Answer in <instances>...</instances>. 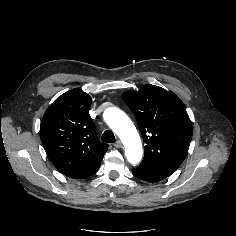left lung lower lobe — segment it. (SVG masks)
Masks as SVG:
<instances>
[{
    "mask_svg": "<svg viewBox=\"0 0 236 236\" xmlns=\"http://www.w3.org/2000/svg\"><path fill=\"white\" fill-rule=\"evenodd\" d=\"M132 173L138 178L142 179L143 181H147L151 183L161 181L167 177V176H164L162 174L152 171L149 166H146L143 164H140L138 167H136L132 171Z\"/></svg>",
    "mask_w": 236,
    "mask_h": 236,
    "instance_id": "0a47b994",
    "label": "left lung lower lobe"
}]
</instances>
